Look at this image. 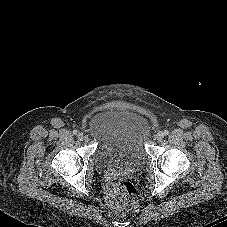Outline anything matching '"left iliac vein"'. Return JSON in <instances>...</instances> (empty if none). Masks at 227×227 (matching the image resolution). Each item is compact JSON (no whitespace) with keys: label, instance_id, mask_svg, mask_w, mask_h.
Listing matches in <instances>:
<instances>
[{"label":"left iliac vein","instance_id":"4c4485c4","mask_svg":"<svg viewBox=\"0 0 227 227\" xmlns=\"http://www.w3.org/2000/svg\"><path fill=\"white\" fill-rule=\"evenodd\" d=\"M164 136H165L164 132L159 131V132L156 134V139H157L158 141H161V140L164 138Z\"/></svg>","mask_w":227,"mask_h":227}]
</instances>
